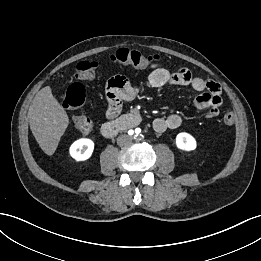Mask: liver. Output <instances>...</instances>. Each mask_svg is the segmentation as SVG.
I'll list each match as a JSON object with an SVG mask.
<instances>
[{
	"label": "liver",
	"mask_w": 261,
	"mask_h": 261,
	"mask_svg": "<svg viewBox=\"0 0 261 261\" xmlns=\"http://www.w3.org/2000/svg\"><path fill=\"white\" fill-rule=\"evenodd\" d=\"M29 125L40 148L52 155L69 124L64 108L52 95L50 86L42 88L28 110Z\"/></svg>",
	"instance_id": "liver-1"
}]
</instances>
